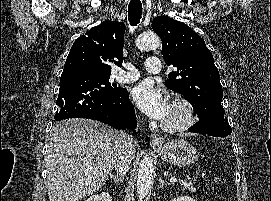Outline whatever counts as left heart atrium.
Wrapping results in <instances>:
<instances>
[{
  "label": "left heart atrium",
  "mask_w": 271,
  "mask_h": 201,
  "mask_svg": "<svg viewBox=\"0 0 271 201\" xmlns=\"http://www.w3.org/2000/svg\"><path fill=\"white\" fill-rule=\"evenodd\" d=\"M132 99L136 106L151 118L165 120L169 114L170 105L162 90L148 81L133 89Z\"/></svg>",
  "instance_id": "left-heart-atrium-1"
}]
</instances>
